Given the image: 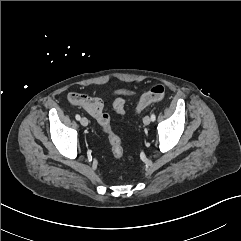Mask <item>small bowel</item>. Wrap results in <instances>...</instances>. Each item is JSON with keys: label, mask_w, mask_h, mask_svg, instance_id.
Returning <instances> with one entry per match:
<instances>
[{"label": "small bowel", "mask_w": 241, "mask_h": 241, "mask_svg": "<svg viewBox=\"0 0 241 241\" xmlns=\"http://www.w3.org/2000/svg\"><path fill=\"white\" fill-rule=\"evenodd\" d=\"M124 95H133L132 91H123ZM68 101L71 105L84 109L92 117L97 118L104 109L103 101L94 96L72 92L68 95Z\"/></svg>", "instance_id": "1"}]
</instances>
